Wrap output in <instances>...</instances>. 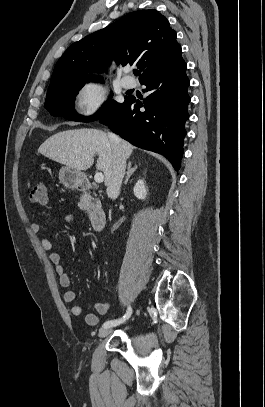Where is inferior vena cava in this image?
<instances>
[{"instance_id":"obj_1","label":"inferior vena cava","mask_w":265,"mask_h":407,"mask_svg":"<svg viewBox=\"0 0 265 407\" xmlns=\"http://www.w3.org/2000/svg\"><path fill=\"white\" fill-rule=\"evenodd\" d=\"M108 137L113 149V166L106 192L109 198H114L120 192L126 168V158L120 147L119 138L113 133H109Z\"/></svg>"}]
</instances>
